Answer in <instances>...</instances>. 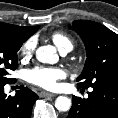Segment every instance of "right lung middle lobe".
Instances as JSON below:
<instances>
[{
  "mask_svg": "<svg viewBox=\"0 0 118 118\" xmlns=\"http://www.w3.org/2000/svg\"><path fill=\"white\" fill-rule=\"evenodd\" d=\"M26 37L4 27H0V84L10 83L8 77L11 70L18 66L17 51Z\"/></svg>",
  "mask_w": 118,
  "mask_h": 118,
  "instance_id": "dd1d6c3e",
  "label": "right lung middle lobe"
}]
</instances>
